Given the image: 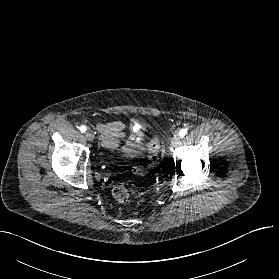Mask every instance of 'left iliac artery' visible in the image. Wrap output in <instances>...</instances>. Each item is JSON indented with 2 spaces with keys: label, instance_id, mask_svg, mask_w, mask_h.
Masks as SVG:
<instances>
[{
  "label": "left iliac artery",
  "instance_id": "left-iliac-artery-1",
  "mask_svg": "<svg viewBox=\"0 0 279 279\" xmlns=\"http://www.w3.org/2000/svg\"><path fill=\"white\" fill-rule=\"evenodd\" d=\"M186 133H187L186 129H181L180 132H179V135L181 137H184L186 135Z\"/></svg>",
  "mask_w": 279,
  "mask_h": 279
}]
</instances>
